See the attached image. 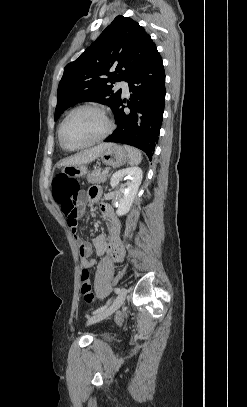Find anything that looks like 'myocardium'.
I'll return each instance as SVG.
<instances>
[{"label": "myocardium", "instance_id": "f54148a6", "mask_svg": "<svg viewBox=\"0 0 247 407\" xmlns=\"http://www.w3.org/2000/svg\"><path fill=\"white\" fill-rule=\"evenodd\" d=\"M80 110H93V111L98 112V113L104 118V120H105V122H106V129H105V131H104L99 137H97L96 139H94V140H92V141H90V142H88V143H86V144H84V145H81V146H78V147H68V146L64 143V141H63V137H62L63 127H64L66 121H67L74 113H76V112H78V111H80ZM113 128H114L113 121L111 120V118H110V116H109V114H108V112L106 111L105 108H103V107H101V106H98V105H93V104H83V105L77 106V107H75L74 109H72V110L64 117V119L62 120V122H61L60 125H59V129H58V140H59L60 146H61L64 150L69 151V152L79 151V150L85 149V148H87V147H90V146H92V145H95V144H97V143L103 141L104 139H106V138L111 134V132L113 131Z\"/></svg>", "mask_w": 247, "mask_h": 407}]
</instances>
